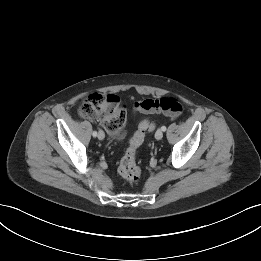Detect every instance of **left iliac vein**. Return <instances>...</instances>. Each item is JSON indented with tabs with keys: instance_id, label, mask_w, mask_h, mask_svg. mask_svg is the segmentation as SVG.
I'll return each mask as SVG.
<instances>
[{
	"instance_id": "1",
	"label": "left iliac vein",
	"mask_w": 261,
	"mask_h": 261,
	"mask_svg": "<svg viewBox=\"0 0 261 261\" xmlns=\"http://www.w3.org/2000/svg\"><path fill=\"white\" fill-rule=\"evenodd\" d=\"M162 137H163V130H162V129H158V130L155 132V138H156L157 140H160V139H162Z\"/></svg>"
}]
</instances>
